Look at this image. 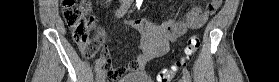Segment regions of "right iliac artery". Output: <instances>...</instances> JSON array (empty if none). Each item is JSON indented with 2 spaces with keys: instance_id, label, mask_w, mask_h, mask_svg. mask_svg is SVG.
I'll return each mask as SVG.
<instances>
[{
  "instance_id": "right-iliac-artery-1",
  "label": "right iliac artery",
  "mask_w": 279,
  "mask_h": 82,
  "mask_svg": "<svg viewBox=\"0 0 279 82\" xmlns=\"http://www.w3.org/2000/svg\"><path fill=\"white\" fill-rule=\"evenodd\" d=\"M133 3V0H125L124 3L122 4V6H120V8L116 11L115 16L117 18H121L124 16V14L128 11V9L130 8L131 4ZM102 67V63L100 61H97L95 64V68L94 71L95 72H99L101 70Z\"/></svg>"
}]
</instances>
